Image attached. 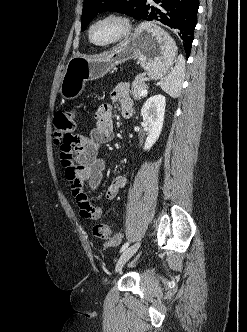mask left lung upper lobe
I'll return each instance as SVG.
<instances>
[{"label": "left lung upper lobe", "mask_w": 247, "mask_h": 332, "mask_svg": "<svg viewBox=\"0 0 247 332\" xmlns=\"http://www.w3.org/2000/svg\"><path fill=\"white\" fill-rule=\"evenodd\" d=\"M147 0H84L81 31H84L98 12L108 10L127 13L140 20Z\"/></svg>", "instance_id": "obj_1"}]
</instances>
